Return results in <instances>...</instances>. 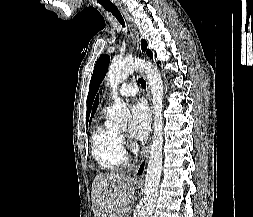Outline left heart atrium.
Masks as SVG:
<instances>
[{"mask_svg": "<svg viewBox=\"0 0 253 217\" xmlns=\"http://www.w3.org/2000/svg\"><path fill=\"white\" fill-rule=\"evenodd\" d=\"M150 130V115L146 104L136 102L131 108L130 134L136 140H143Z\"/></svg>", "mask_w": 253, "mask_h": 217, "instance_id": "obj_1", "label": "left heart atrium"}]
</instances>
